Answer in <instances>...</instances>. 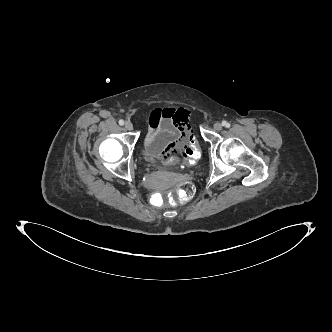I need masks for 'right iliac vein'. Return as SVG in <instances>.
<instances>
[{"label": "right iliac vein", "mask_w": 332, "mask_h": 332, "mask_svg": "<svg viewBox=\"0 0 332 332\" xmlns=\"http://www.w3.org/2000/svg\"><path fill=\"white\" fill-rule=\"evenodd\" d=\"M125 129L131 131L133 129V124L130 121L125 123Z\"/></svg>", "instance_id": "63e3f726"}]
</instances>
